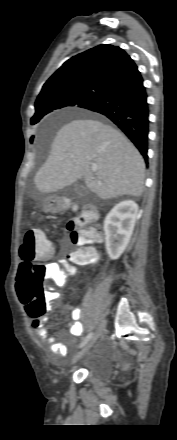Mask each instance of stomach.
<instances>
[{"label": "stomach", "mask_w": 177, "mask_h": 440, "mask_svg": "<svg viewBox=\"0 0 177 440\" xmlns=\"http://www.w3.org/2000/svg\"><path fill=\"white\" fill-rule=\"evenodd\" d=\"M42 207L45 211H53L56 209V207L52 204L51 198H47L46 200H44L42 203Z\"/></svg>", "instance_id": "stomach-1"}]
</instances>
